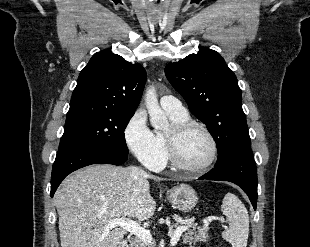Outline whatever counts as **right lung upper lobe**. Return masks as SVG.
<instances>
[{"label": "right lung upper lobe", "mask_w": 310, "mask_h": 247, "mask_svg": "<svg viewBox=\"0 0 310 247\" xmlns=\"http://www.w3.org/2000/svg\"><path fill=\"white\" fill-rule=\"evenodd\" d=\"M146 71L110 50L95 53L80 72L70 109H110L135 113ZM69 109V110H70Z\"/></svg>", "instance_id": "obj_1"}]
</instances>
